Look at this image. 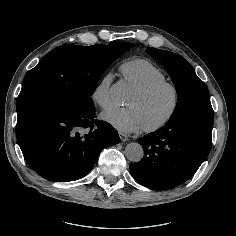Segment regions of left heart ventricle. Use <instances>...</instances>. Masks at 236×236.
<instances>
[{"label": "left heart ventricle", "instance_id": "obj_1", "mask_svg": "<svg viewBox=\"0 0 236 236\" xmlns=\"http://www.w3.org/2000/svg\"><path fill=\"white\" fill-rule=\"evenodd\" d=\"M172 103L173 95L171 90L164 88L147 98H140L134 93L127 104L138 110L144 127L161 121L170 111Z\"/></svg>", "mask_w": 236, "mask_h": 236}]
</instances>
